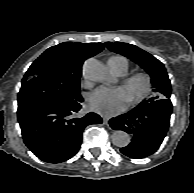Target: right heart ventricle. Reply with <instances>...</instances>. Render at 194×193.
<instances>
[{
    "label": "right heart ventricle",
    "instance_id": "right-heart-ventricle-1",
    "mask_svg": "<svg viewBox=\"0 0 194 193\" xmlns=\"http://www.w3.org/2000/svg\"><path fill=\"white\" fill-rule=\"evenodd\" d=\"M115 58L118 59V63L112 70L118 75H124L129 68V63L127 59L122 56H115Z\"/></svg>",
    "mask_w": 194,
    "mask_h": 193
}]
</instances>
